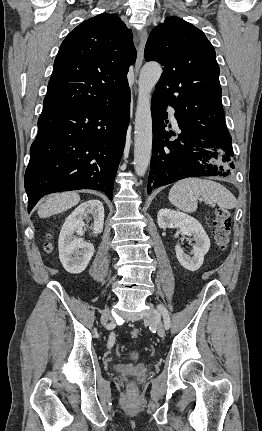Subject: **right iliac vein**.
I'll use <instances>...</instances> for the list:
<instances>
[{"label":"right iliac vein","instance_id":"right-iliac-vein-1","mask_svg":"<svg viewBox=\"0 0 262 431\" xmlns=\"http://www.w3.org/2000/svg\"><path fill=\"white\" fill-rule=\"evenodd\" d=\"M110 317H111V311L109 308H107L104 310L102 314V318H101L102 323H106Z\"/></svg>","mask_w":262,"mask_h":431}]
</instances>
